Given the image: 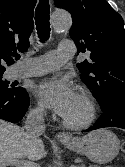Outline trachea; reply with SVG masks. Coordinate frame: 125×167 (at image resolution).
<instances>
[{"label":"trachea","mask_w":125,"mask_h":167,"mask_svg":"<svg viewBox=\"0 0 125 167\" xmlns=\"http://www.w3.org/2000/svg\"><path fill=\"white\" fill-rule=\"evenodd\" d=\"M50 6L48 0H40L35 11V24L38 37L41 41H47L50 37ZM15 60L20 59V55H14Z\"/></svg>","instance_id":"3493384b"}]
</instances>
